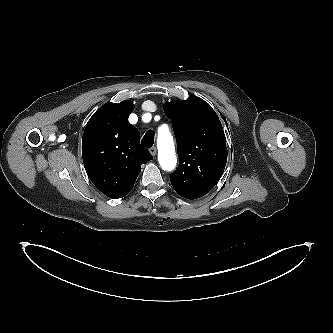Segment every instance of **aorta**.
<instances>
[{
    "label": "aorta",
    "mask_w": 333,
    "mask_h": 333,
    "mask_svg": "<svg viewBox=\"0 0 333 333\" xmlns=\"http://www.w3.org/2000/svg\"><path fill=\"white\" fill-rule=\"evenodd\" d=\"M158 160L164 170H172L176 165V155L173 138L168 129L161 127L158 138Z\"/></svg>",
    "instance_id": "obj_1"
}]
</instances>
